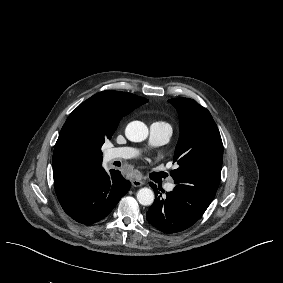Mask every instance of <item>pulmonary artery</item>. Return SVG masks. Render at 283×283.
Here are the masks:
<instances>
[{"mask_svg":"<svg viewBox=\"0 0 283 283\" xmlns=\"http://www.w3.org/2000/svg\"><path fill=\"white\" fill-rule=\"evenodd\" d=\"M171 134V129L166 126L159 124H152L150 126V142L153 145L166 144L170 140ZM137 153L138 151L134 148L119 147L109 149L106 156L110 161H122L135 157ZM175 186V180L171 178L166 182L164 188L167 192H172Z\"/></svg>","mask_w":283,"mask_h":283,"instance_id":"obj_1","label":"pulmonary artery"}]
</instances>
